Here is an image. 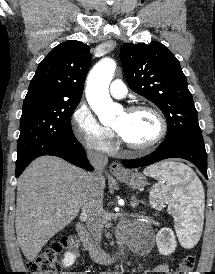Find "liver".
Masks as SVG:
<instances>
[{"mask_svg":"<svg viewBox=\"0 0 215 274\" xmlns=\"http://www.w3.org/2000/svg\"><path fill=\"white\" fill-rule=\"evenodd\" d=\"M89 174L66 161L42 156L18 180L15 229L18 244L33 261L44 245L78 215ZM103 189L105 179H102Z\"/></svg>","mask_w":215,"mask_h":274,"instance_id":"obj_1","label":"liver"}]
</instances>
